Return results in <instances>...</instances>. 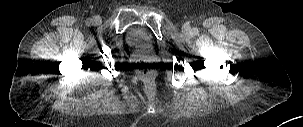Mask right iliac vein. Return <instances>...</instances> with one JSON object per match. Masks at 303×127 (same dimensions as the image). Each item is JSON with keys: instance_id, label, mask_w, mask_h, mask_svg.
I'll return each mask as SVG.
<instances>
[{"instance_id": "1", "label": "right iliac vein", "mask_w": 303, "mask_h": 127, "mask_svg": "<svg viewBox=\"0 0 303 127\" xmlns=\"http://www.w3.org/2000/svg\"><path fill=\"white\" fill-rule=\"evenodd\" d=\"M101 22H102V19H101L99 16H95V17L93 18V23H94L95 25H100Z\"/></svg>"}]
</instances>
